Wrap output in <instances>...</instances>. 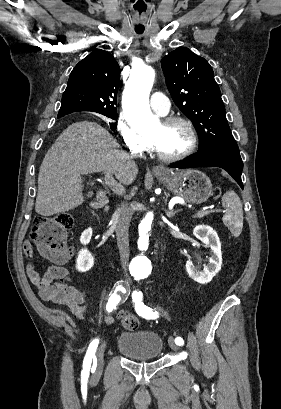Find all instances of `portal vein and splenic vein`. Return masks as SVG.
I'll return each mask as SVG.
<instances>
[{
	"mask_svg": "<svg viewBox=\"0 0 281 409\" xmlns=\"http://www.w3.org/2000/svg\"><path fill=\"white\" fill-rule=\"evenodd\" d=\"M104 182L109 191L114 190L115 196H121L123 194V191L127 189V186L125 184H122L120 180H115L112 172H106ZM207 213L224 214L225 210L224 209H215V210L200 209L199 212L194 213V215L192 216V219L202 220L203 216H207Z\"/></svg>",
	"mask_w": 281,
	"mask_h": 409,
	"instance_id": "obj_1",
	"label": "portal vein and splenic vein"
}]
</instances>
